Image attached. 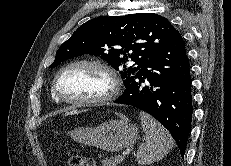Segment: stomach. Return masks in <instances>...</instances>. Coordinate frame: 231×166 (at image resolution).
I'll list each match as a JSON object with an SVG mask.
<instances>
[{
  "label": "stomach",
  "instance_id": "obj_1",
  "mask_svg": "<svg viewBox=\"0 0 231 166\" xmlns=\"http://www.w3.org/2000/svg\"><path fill=\"white\" fill-rule=\"evenodd\" d=\"M138 133V127L120 115V119H111L96 127L75 128L70 135L78 143L116 152L133 145L138 139Z\"/></svg>",
  "mask_w": 231,
  "mask_h": 166
}]
</instances>
